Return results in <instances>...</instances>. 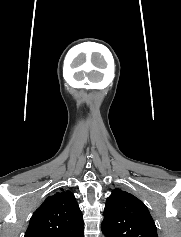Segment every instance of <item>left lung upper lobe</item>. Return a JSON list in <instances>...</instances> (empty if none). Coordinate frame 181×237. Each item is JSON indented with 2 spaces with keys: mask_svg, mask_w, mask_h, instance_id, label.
<instances>
[{
  "mask_svg": "<svg viewBox=\"0 0 181 237\" xmlns=\"http://www.w3.org/2000/svg\"><path fill=\"white\" fill-rule=\"evenodd\" d=\"M101 229L106 237H158L147 207L120 189H114L106 201Z\"/></svg>",
  "mask_w": 181,
  "mask_h": 237,
  "instance_id": "left-lung-upper-lobe-1",
  "label": "left lung upper lobe"
}]
</instances>
